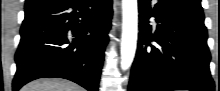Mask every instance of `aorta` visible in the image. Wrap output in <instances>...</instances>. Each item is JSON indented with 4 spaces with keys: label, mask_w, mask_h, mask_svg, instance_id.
Wrapping results in <instances>:
<instances>
[{
    "label": "aorta",
    "mask_w": 220,
    "mask_h": 91,
    "mask_svg": "<svg viewBox=\"0 0 220 91\" xmlns=\"http://www.w3.org/2000/svg\"><path fill=\"white\" fill-rule=\"evenodd\" d=\"M121 68L127 70L134 59L138 33L137 0H122Z\"/></svg>",
    "instance_id": "aorta-1"
}]
</instances>
